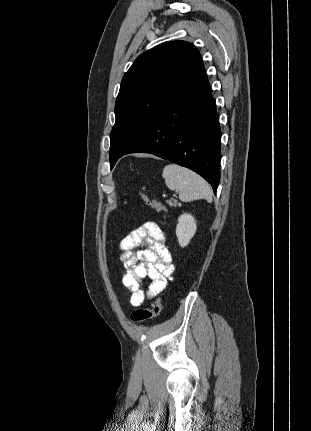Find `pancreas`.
Returning a JSON list of instances; mask_svg holds the SVG:
<instances>
[{
    "label": "pancreas",
    "instance_id": "pancreas-1",
    "mask_svg": "<svg viewBox=\"0 0 311 431\" xmlns=\"http://www.w3.org/2000/svg\"><path fill=\"white\" fill-rule=\"evenodd\" d=\"M167 204L169 206H174V208H177V204H179L178 200H174V198H171V200H167Z\"/></svg>",
    "mask_w": 311,
    "mask_h": 431
}]
</instances>
